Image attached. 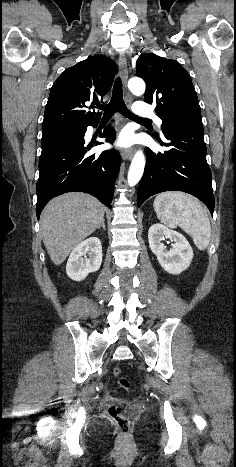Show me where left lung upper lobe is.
<instances>
[{
    "mask_svg": "<svg viewBox=\"0 0 236 467\" xmlns=\"http://www.w3.org/2000/svg\"><path fill=\"white\" fill-rule=\"evenodd\" d=\"M136 74L146 82L144 101L157 103L162 131L177 125H202L200 106L189 73L176 61L143 53Z\"/></svg>",
    "mask_w": 236,
    "mask_h": 467,
    "instance_id": "left-lung-upper-lobe-1",
    "label": "left lung upper lobe"
}]
</instances>
